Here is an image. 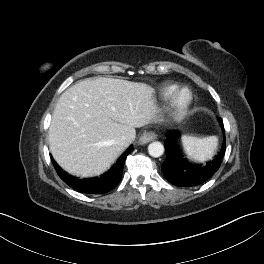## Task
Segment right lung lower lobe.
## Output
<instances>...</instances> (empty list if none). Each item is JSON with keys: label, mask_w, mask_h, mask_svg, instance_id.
<instances>
[{"label": "right lung lower lobe", "mask_w": 264, "mask_h": 264, "mask_svg": "<svg viewBox=\"0 0 264 264\" xmlns=\"http://www.w3.org/2000/svg\"><path fill=\"white\" fill-rule=\"evenodd\" d=\"M130 151L131 148H128L116 164L104 175L90 180H78L64 173L54 161L53 164L59 177L74 189L87 194H103L112 190L120 182L124 162Z\"/></svg>", "instance_id": "right-lung-lower-lobe-1"}]
</instances>
